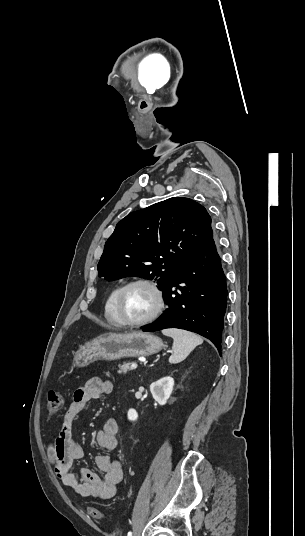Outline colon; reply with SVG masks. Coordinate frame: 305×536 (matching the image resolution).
I'll list each match as a JSON object with an SVG mask.
<instances>
[{"label":"colon","mask_w":305,"mask_h":536,"mask_svg":"<svg viewBox=\"0 0 305 536\" xmlns=\"http://www.w3.org/2000/svg\"><path fill=\"white\" fill-rule=\"evenodd\" d=\"M63 405L62 394L55 390H48L47 392V413L50 416H56L61 410ZM89 515L95 519H102L104 517L103 512L97 509H90Z\"/></svg>","instance_id":"1"}]
</instances>
